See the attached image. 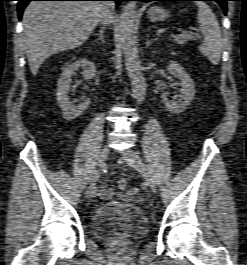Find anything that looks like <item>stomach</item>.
Wrapping results in <instances>:
<instances>
[{
  "label": "stomach",
  "instance_id": "obj_1",
  "mask_svg": "<svg viewBox=\"0 0 247 265\" xmlns=\"http://www.w3.org/2000/svg\"><path fill=\"white\" fill-rule=\"evenodd\" d=\"M147 15L152 21H163L169 17L168 11L158 6L151 7L147 11Z\"/></svg>",
  "mask_w": 247,
  "mask_h": 265
}]
</instances>
